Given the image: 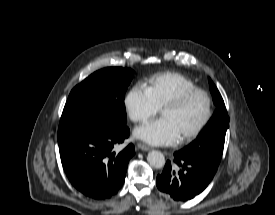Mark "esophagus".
Segmentation results:
<instances>
[{
  "mask_svg": "<svg viewBox=\"0 0 275 215\" xmlns=\"http://www.w3.org/2000/svg\"><path fill=\"white\" fill-rule=\"evenodd\" d=\"M137 147L142 151H149L150 150L149 146H147L146 144L141 143V142L137 143Z\"/></svg>",
  "mask_w": 275,
  "mask_h": 215,
  "instance_id": "1",
  "label": "esophagus"
}]
</instances>
